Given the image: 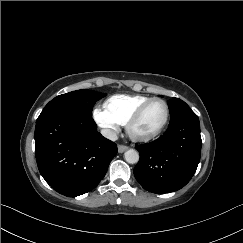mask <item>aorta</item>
<instances>
[{
	"label": "aorta",
	"instance_id": "762f6f07",
	"mask_svg": "<svg viewBox=\"0 0 243 243\" xmlns=\"http://www.w3.org/2000/svg\"><path fill=\"white\" fill-rule=\"evenodd\" d=\"M124 159L129 164H135L139 161V153L134 149H129L124 153Z\"/></svg>",
	"mask_w": 243,
	"mask_h": 243
}]
</instances>
